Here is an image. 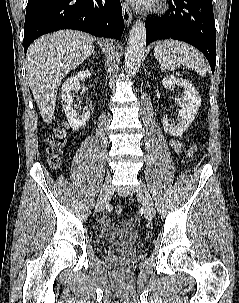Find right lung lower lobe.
Returning <instances> with one entry per match:
<instances>
[{"label":"right lung lower lobe","instance_id":"98d812e1","mask_svg":"<svg viewBox=\"0 0 239 303\" xmlns=\"http://www.w3.org/2000/svg\"><path fill=\"white\" fill-rule=\"evenodd\" d=\"M60 29L120 39L124 30L121 3L119 0H28L25 53L36 38Z\"/></svg>","mask_w":239,"mask_h":303}]
</instances>
